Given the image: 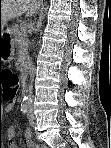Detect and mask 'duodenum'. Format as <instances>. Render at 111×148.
I'll list each match as a JSON object with an SVG mask.
<instances>
[{
  "label": "duodenum",
  "mask_w": 111,
  "mask_h": 148,
  "mask_svg": "<svg viewBox=\"0 0 111 148\" xmlns=\"http://www.w3.org/2000/svg\"><path fill=\"white\" fill-rule=\"evenodd\" d=\"M22 62L23 63H27L28 62V59H22Z\"/></svg>",
  "instance_id": "410a0bca"
}]
</instances>
